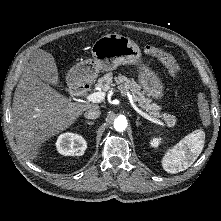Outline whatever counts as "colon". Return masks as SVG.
Listing matches in <instances>:
<instances>
[{
    "label": "colon",
    "instance_id": "1",
    "mask_svg": "<svg viewBox=\"0 0 221 221\" xmlns=\"http://www.w3.org/2000/svg\"><path fill=\"white\" fill-rule=\"evenodd\" d=\"M143 51L146 55L158 58L168 68L169 72L172 75L174 76L179 75L180 72L179 66L176 64L173 56L170 53L150 45L145 46ZM196 102L203 126H209L211 118H210V108L206 96L202 93H198L196 95Z\"/></svg>",
    "mask_w": 221,
    "mask_h": 221
}]
</instances>
